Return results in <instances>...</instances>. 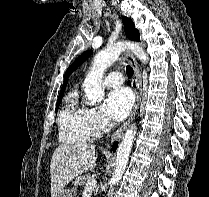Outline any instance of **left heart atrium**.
<instances>
[{
  "label": "left heart atrium",
  "instance_id": "39dd6f15",
  "mask_svg": "<svg viewBox=\"0 0 209 197\" xmlns=\"http://www.w3.org/2000/svg\"><path fill=\"white\" fill-rule=\"evenodd\" d=\"M133 105V94L126 87L112 89L105 100V110L114 120L124 119Z\"/></svg>",
  "mask_w": 209,
  "mask_h": 197
}]
</instances>
